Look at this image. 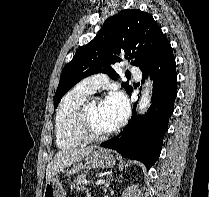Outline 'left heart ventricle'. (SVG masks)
Returning <instances> with one entry per match:
<instances>
[{
    "label": "left heart ventricle",
    "instance_id": "1",
    "mask_svg": "<svg viewBox=\"0 0 209 197\" xmlns=\"http://www.w3.org/2000/svg\"><path fill=\"white\" fill-rule=\"evenodd\" d=\"M101 105V101H95L88 111L89 127L94 133H102L112 128L102 111Z\"/></svg>",
    "mask_w": 209,
    "mask_h": 197
}]
</instances>
